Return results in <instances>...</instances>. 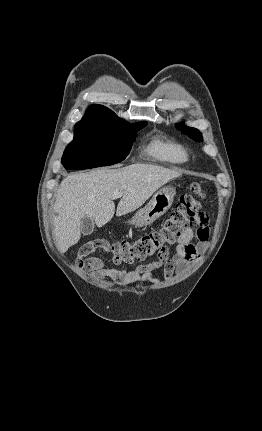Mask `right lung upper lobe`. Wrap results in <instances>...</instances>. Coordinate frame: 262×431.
I'll use <instances>...</instances> for the list:
<instances>
[{"instance_id": "1", "label": "right lung upper lobe", "mask_w": 262, "mask_h": 431, "mask_svg": "<svg viewBox=\"0 0 262 431\" xmlns=\"http://www.w3.org/2000/svg\"><path fill=\"white\" fill-rule=\"evenodd\" d=\"M116 120H121L118 118L110 109L102 105H92L90 106L84 117L76 124H106Z\"/></svg>"}]
</instances>
